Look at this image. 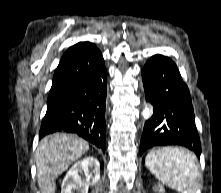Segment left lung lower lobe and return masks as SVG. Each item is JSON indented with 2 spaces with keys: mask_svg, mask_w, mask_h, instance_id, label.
<instances>
[{
  "mask_svg": "<svg viewBox=\"0 0 221 193\" xmlns=\"http://www.w3.org/2000/svg\"><path fill=\"white\" fill-rule=\"evenodd\" d=\"M142 78L146 99L153 105V115L143 129L140 155L155 146L178 145L200 157L201 143L189 89L176 64L168 57L154 55L143 67ZM168 106L176 113V122L172 127L162 116Z\"/></svg>",
  "mask_w": 221,
  "mask_h": 193,
  "instance_id": "1",
  "label": "left lung lower lobe"
}]
</instances>
